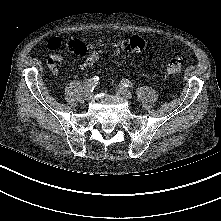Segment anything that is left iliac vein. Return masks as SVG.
<instances>
[{"label":"left iliac vein","instance_id":"obj_1","mask_svg":"<svg viewBox=\"0 0 221 221\" xmlns=\"http://www.w3.org/2000/svg\"><path fill=\"white\" fill-rule=\"evenodd\" d=\"M118 93L126 99H131L133 96L132 93L128 89L123 88V87H119Z\"/></svg>","mask_w":221,"mask_h":221}]
</instances>
